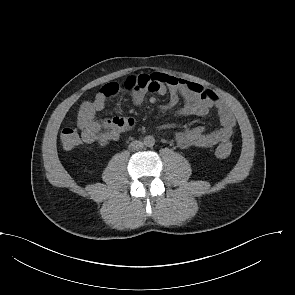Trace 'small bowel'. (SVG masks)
<instances>
[{
    "label": "small bowel",
    "instance_id": "1",
    "mask_svg": "<svg viewBox=\"0 0 295 295\" xmlns=\"http://www.w3.org/2000/svg\"><path fill=\"white\" fill-rule=\"evenodd\" d=\"M132 78L135 80V86L132 88L135 105H141L146 93L152 92L169 96L167 103L158 107L160 114L173 110L180 99H183L184 103L175 112L178 116H206L212 109H216L221 127L210 132H206L202 126L179 131L175 134L179 147L212 148L231 137L235 126L234 115L214 91L198 83L158 72ZM107 98L100 91L92 101H86L80 106L77 125L83 142L105 145L118 140L123 132L134 126V120L127 117H113L102 121L96 119V114L104 109ZM149 102L155 104L156 97L151 96Z\"/></svg>",
    "mask_w": 295,
    "mask_h": 295
}]
</instances>
